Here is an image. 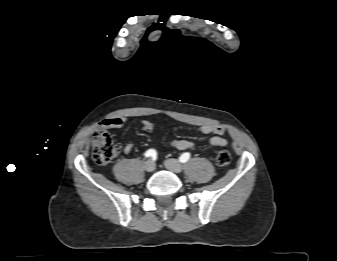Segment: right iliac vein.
Here are the masks:
<instances>
[{
	"instance_id": "right-iliac-vein-1",
	"label": "right iliac vein",
	"mask_w": 337,
	"mask_h": 261,
	"mask_svg": "<svg viewBox=\"0 0 337 261\" xmlns=\"http://www.w3.org/2000/svg\"><path fill=\"white\" fill-rule=\"evenodd\" d=\"M144 168L147 172H153L155 170V164L152 160H148L145 162Z\"/></svg>"
}]
</instances>
